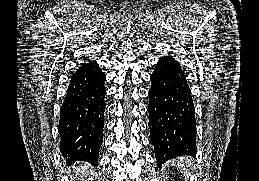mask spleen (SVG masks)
Here are the masks:
<instances>
[{"label":"spleen","instance_id":"1","mask_svg":"<svg viewBox=\"0 0 259 181\" xmlns=\"http://www.w3.org/2000/svg\"><path fill=\"white\" fill-rule=\"evenodd\" d=\"M186 160V164L190 167L191 166V160L188 158H178L177 160V166H179L180 168H183L184 165L182 164L184 161ZM185 170V169H184Z\"/></svg>","mask_w":259,"mask_h":181}]
</instances>
